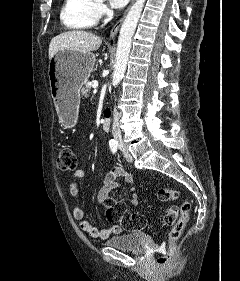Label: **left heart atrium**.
Masks as SVG:
<instances>
[{"instance_id": "obj_1", "label": "left heart atrium", "mask_w": 240, "mask_h": 281, "mask_svg": "<svg viewBox=\"0 0 240 281\" xmlns=\"http://www.w3.org/2000/svg\"><path fill=\"white\" fill-rule=\"evenodd\" d=\"M129 0H110V4L114 8H122L128 3Z\"/></svg>"}]
</instances>
